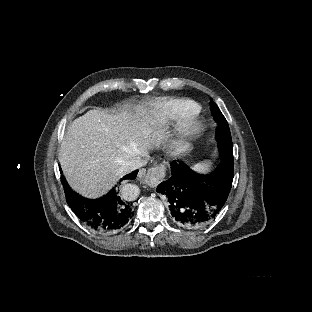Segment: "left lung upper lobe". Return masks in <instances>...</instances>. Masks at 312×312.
Instances as JSON below:
<instances>
[{"mask_svg": "<svg viewBox=\"0 0 312 312\" xmlns=\"http://www.w3.org/2000/svg\"><path fill=\"white\" fill-rule=\"evenodd\" d=\"M210 104L212 105L214 120L218 124V128L216 131V139L218 142V147L226 148V149H233L230 129H229V126L225 117L223 116L220 109L215 103L210 102Z\"/></svg>", "mask_w": 312, "mask_h": 312, "instance_id": "1", "label": "left lung upper lobe"}]
</instances>
